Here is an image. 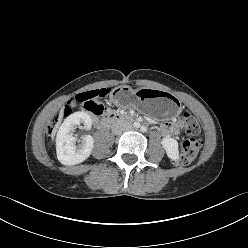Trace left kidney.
Returning <instances> with one entry per match:
<instances>
[{"mask_svg":"<svg viewBox=\"0 0 248 248\" xmlns=\"http://www.w3.org/2000/svg\"><path fill=\"white\" fill-rule=\"evenodd\" d=\"M161 144L170 159L177 160L179 158L178 142L175 139L164 137Z\"/></svg>","mask_w":248,"mask_h":248,"instance_id":"obj_1","label":"left kidney"}]
</instances>
